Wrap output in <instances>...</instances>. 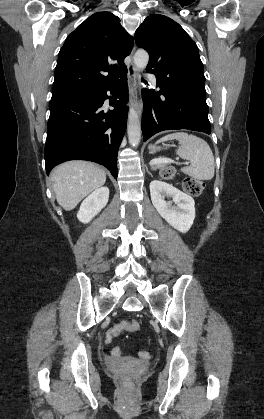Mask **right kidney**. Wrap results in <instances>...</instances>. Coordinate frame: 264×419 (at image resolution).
<instances>
[{
    "instance_id": "right-kidney-1",
    "label": "right kidney",
    "mask_w": 264,
    "mask_h": 419,
    "mask_svg": "<svg viewBox=\"0 0 264 419\" xmlns=\"http://www.w3.org/2000/svg\"><path fill=\"white\" fill-rule=\"evenodd\" d=\"M108 200L109 189L107 187L94 190L81 203L77 218L82 223L90 222L107 205Z\"/></svg>"
}]
</instances>
